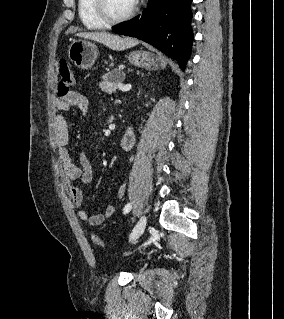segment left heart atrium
I'll return each mask as SVG.
<instances>
[{
    "label": "left heart atrium",
    "instance_id": "1",
    "mask_svg": "<svg viewBox=\"0 0 284 319\" xmlns=\"http://www.w3.org/2000/svg\"><path fill=\"white\" fill-rule=\"evenodd\" d=\"M131 1H132V3H135L136 0H131Z\"/></svg>",
    "mask_w": 284,
    "mask_h": 319
}]
</instances>
